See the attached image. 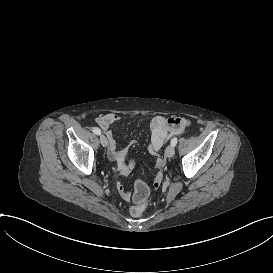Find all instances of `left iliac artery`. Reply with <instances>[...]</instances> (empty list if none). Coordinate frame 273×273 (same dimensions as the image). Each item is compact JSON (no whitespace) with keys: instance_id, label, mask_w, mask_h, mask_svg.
Here are the masks:
<instances>
[{"instance_id":"44dca946","label":"left iliac artery","mask_w":273,"mask_h":273,"mask_svg":"<svg viewBox=\"0 0 273 273\" xmlns=\"http://www.w3.org/2000/svg\"><path fill=\"white\" fill-rule=\"evenodd\" d=\"M177 141H178V139H177L176 137H174V138L171 140V145H172L173 147H175L176 144H177Z\"/></svg>"}]
</instances>
